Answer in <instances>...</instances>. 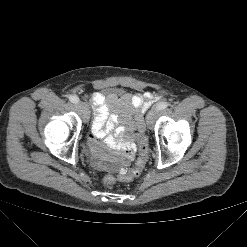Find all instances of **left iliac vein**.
I'll return each mask as SVG.
<instances>
[{
  "instance_id": "left-iliac-vein-1",
  "label": "left iliac vein",
  "mask_w": 247,
  "mask_h": 247,
  "mask_svg": "<svg viewBox=\"0 0 247 247\" xmlns=\"http://www.w3.org/2000/svg\"><path fill=\"white\" fill-rule=\"evenodd\" d=\"M158 111L159 110L157 109V107H154L153 109H151L147 113V115H146V123H147L148 126H151L153 124Z\"/></svg>"
}]
</instances>
